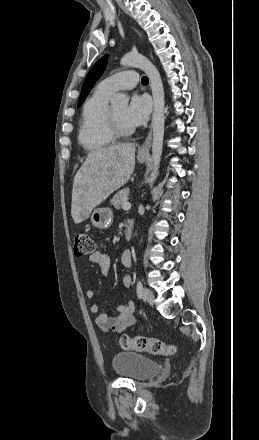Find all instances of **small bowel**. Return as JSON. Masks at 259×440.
Masks as SVG:
<instances>
[{
  "instance_id": "1",
  "label": "small bowel",
  "mask_w": 259,
  "mask_h": 440,
  "mask_svg": "<svg viewBox=\"0 0 259 440\" xmlns=\"http://www.w3.org/2000/svg\"><path fill=\"white\" fill-rule=\"evenodd\" d=\"M89 261L98 266L102 275H107L111 268L110 257L107 253L97 250L94 251ZM132 261V254L130 250H125L121 255V263L125 267H129ZM122 284L128 288L132 284V278L130 275H124L122 278ZM95 293L92 288H85V296L88 299H92ZM91 312L97 315L96 322L98 326L104 331H113L116 334H121L126 328L134 325L137 319L134 316L135 305L132 301H127L117 307V314L110 316L106 313H101L100 307L96 304L90 308Z\"/></svg>"
}]
</instances>
